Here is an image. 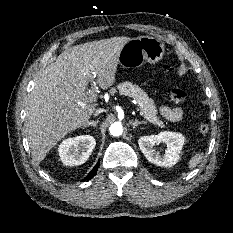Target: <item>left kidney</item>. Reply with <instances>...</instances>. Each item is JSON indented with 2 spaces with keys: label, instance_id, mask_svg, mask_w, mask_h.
Listing matches in <instances>:
<instances>
[{
  "label": "left kidney",
  "instance_id": "1",
  "mask_svg": "<svg viewBox=\"0 0 233 233\" xmlns=\"http://www.w3.org/2000/svg\"><path fill=\"white\" fill-rule=\"evenodd\" d=\"M185 138L177 132L164 131L157 135L143 136L138 140L140 150L146 159L162 167H172L179 160V154L184 145ZM160 143H165L167 148L164 155L156 152L154 146Z\"/></svg>",
  "mask_w": 233,
  "mask_h": 233
}]
</instances>
